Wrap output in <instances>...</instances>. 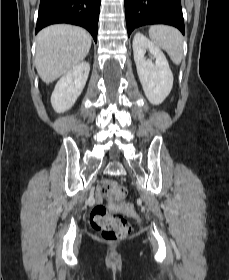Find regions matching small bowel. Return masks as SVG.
I'll return each instance as SVG.
<instances>
[{
    "label": "small bowel",
    "instance_id": "1",
    "mask_svg": "<svg viewBox=\"0 0 229 280\" xmlns=\"http://www.w3.org/2000/svg\"><path fill=\"white\" fill-rule=\"evenodd\" d=\"M98 200H99V198H98ZM111 208H114V206H113V205H111Z\"/></svg>",
    "mask_w": 229,
    "mask_h": 280
}]
</instances>
